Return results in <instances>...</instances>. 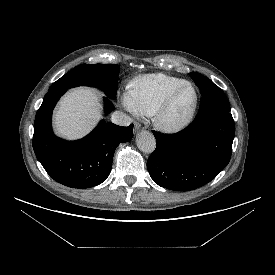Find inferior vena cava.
Returning <instances> with one entry per match:
<instances>
[{"label":"inferior vena cava","instance_id":"602c4592","mask_svg":"<svg viewBox=\"0 0 275 275\" xmlns=\"http://www.w3.org/2000/svg\"><path fill=\"white\" fill-rule=\"evenodd\" d=\"M111 121L114 124L120 125V126H129L132 123V119L127 116L125 113L120 111L113 112L111 116Z\"/></svg>","mask_w":275,"mask_h":275}]
</instances>
